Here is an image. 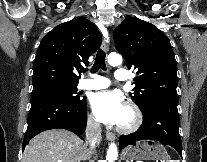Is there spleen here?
<instances>
[{"label": "spleen", "mask_w": 207, "mask_h": 162, "mask_svg": "<svg viewBox=\"0 0 207 162\" xmlns=\"http://www.w3.org/2000/svg\"><path fill=\"white\" fill-rule=\"evenodd\" d=\"M167 162H179L178 160H168Z\"/></svg>", "instance_id": "3e777b00"}]
</instances>
